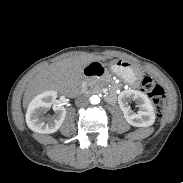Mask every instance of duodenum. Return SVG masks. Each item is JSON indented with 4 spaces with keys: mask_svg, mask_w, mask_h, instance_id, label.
<instances>
[{
    "mask_svg": "<svg viewBox=\"0 0 183 183\" xmlns=\"http://www.w3.org/2000/svg\"><path fill=\"white\" fill-rule=\"evenodd\" d=\"M104 74L105 72L103 67L97 62L91 63L84 69V76L89 79L98 78L103 76ZM109 98L112 99V96H110Z\"/></svg>",
    "mask_w": 183,
    "mask_h": 183,
    "instance_id": "obj_1",
    "label": "duodenum"
}]
</instances>
